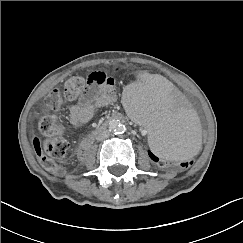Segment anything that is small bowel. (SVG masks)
<instances>
[{"label": "small bowel", "instance_id": "1", "mask_svg": "<svg viewBox=\"0 0 243 243\" xmlns=\"http://www.w3.org/2000/svg\"><path fill=\"white\" fill-rule=\"evenodd\" d=\"M115 101L113 85H93L77 103L70 108V122L77 128L86 124L94 113Z\"/></svg>", "mask_w": 243, "mask_h": 243}]
</instances>
